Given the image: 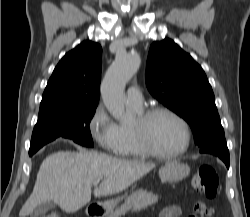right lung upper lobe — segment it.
<instances>
[{"label":"right lung upper lobe","mask_w":250,"mask_h":217,"mask_svg":"<svg viewBox=\"0 0 250 217\" xmlns=\"http://www.w3.org/2000/svg\"><path fill=\"white\" fill-rule=\"evenodd\" d=\"M102 48L84 41L55 67L42 96L39 114L73 107L97 106L100 97Z\"/></svg>","instance_id":"cb5924a9"}]
</instances>
